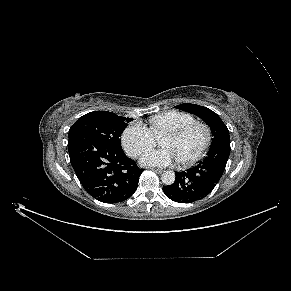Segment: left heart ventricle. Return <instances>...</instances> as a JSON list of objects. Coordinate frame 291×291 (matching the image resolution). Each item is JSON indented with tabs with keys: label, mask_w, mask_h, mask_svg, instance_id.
I'll use <instances>...</instances> for the list:
<instances>
[{
	"label": "left heart ventricle",
	"mask_w": 291,
	"mask_h": 291,
	"mask_svg": "<svg viewBox=\"0 0 291 291\" xmlns=\"http://www.w3.org/2000/svg\"><path fill=\"white\" fill-rule=\"evenodd\" d=\"M203 141L204 131L196 128L180 138L163 137L161 146L172 149L178 160H186L200 150Z\"/></svg>",
	"instance_id": "obj_1"
}]
</instances>
